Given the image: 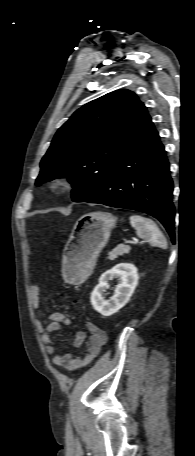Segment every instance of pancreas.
I'll use <instances>...</instances> for the list:
<instances>
[{"instance_id": "1", "label": "pancreas", "mask_w": 195, "mask_h": 456, "mask_svg": "<svg viewBox=\"0 0 195 456\" xmlns=\"http://www.w3.org/2000/svg\"><path fill=\"white\" fill-rule=\"evenodd\" d=\"M131 250L130 246L127 245H118L116 248H114L109 254H108V259L109 260H115L118 258V256H123L124 254H128Z\"/></svg>"}]
</instances>
